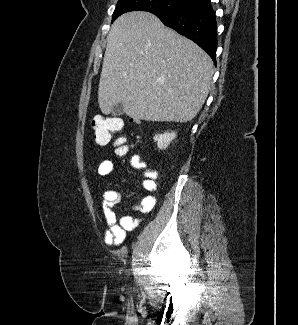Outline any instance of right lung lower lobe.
<instances>
[{"instance_id": "obj_1", "label": "right lung lower lobe", "mask_w": 298, "mask_h": 325, "mask_svg": "<svg viewBox=\"0 0 298 325\" xmlns=\"http://www.w3.org/2000/svg\"><path fill=\"white\" fill-rule=\"evenodd\" d=\"M155 15L164 25L198 44L216 63L217 24L210 0H193L177 10Z\"/></svg>"}]
</instances>
